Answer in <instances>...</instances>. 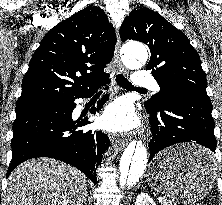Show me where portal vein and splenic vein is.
Returning a JSON list of instances; mask_svg holds the SVG:
<instances>
[{"label": "portal vein and splenic vein", "instance_id": "portal-vein-and-splenic-vein-1", "mask_svg": "<svg viewBox=\"0 0 222 205\" xmlns=\"http://www.w3.org/2000/svg\"><path fill=\"white\" fill-rule=\"evenodd\" d=\"M158 200H159L160 202H164V201L167 200V199L164 200L162 197H159Z\"/></svg>", "mask_w": 222, "mask_h": 205}]
</instances>
